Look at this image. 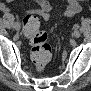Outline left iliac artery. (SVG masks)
Segmentation results:
<instances>
[{
  "label": "left iliac artery",
  "instance_id": "left-iliac-artery-1",
  "mask_svg": "<svg viewBox=\"0 0 91 91\" xmlns=\"http://www.w3.org/2000/svg\"><path fill=\"white\" fill-rule=\"evenodd\" d=\"M79 28V25L78 24H75L74 26H73V29L74 30H77Z\"/></svg>",
  "mask_w": 91,
  "mask_h": 91
}]
</instances>
